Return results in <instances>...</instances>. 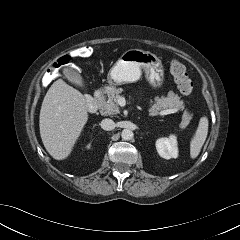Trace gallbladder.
<instances>
[{"mask_svg":"<svg viewBox=\"0 0 240 240\" xmlns=\"http://www.w3.org/2000/svg\"><path fill=\"white\" fill-rule=\"evenodd\" d=\"M63 73L66 79L72 84L83 88L85 86L84 80L79 72V69L75 66H68L63 69Z\"/></svg>","mask_w":240,"mask_h":240,"instance_id":"1","label":"gallbladder"}]
</instances>
